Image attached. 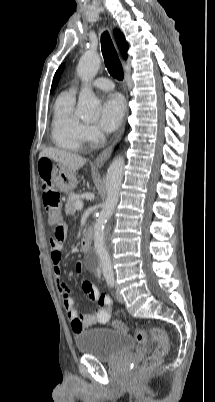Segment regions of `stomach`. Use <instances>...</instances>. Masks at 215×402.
<instances>
[{
    "label": "stomach",
    "instance_id": "0dacf381",
    "mask_svg": "<svg viewBox=\"0 0 215 402\" xmlns=\"http://www.w3.org/2000/svg\"><path fill=\"white\" fill-rule=\"evenodd\" d=\"M50 176L54 185L61 192L70 193L76 187L77 179L75 172L59 163L56 165L53 164Z\"/></svg>",
    "mask_w": 215,
    "mask_h": 402
}]
</instances>
